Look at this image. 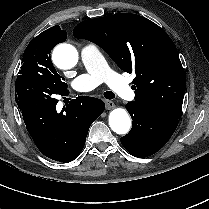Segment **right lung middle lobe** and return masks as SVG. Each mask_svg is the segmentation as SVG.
<instances>
[{
  "label": "right lung middle lobe",
  "instance_id": "obj_1",
  "mask_svg": "<svg viewBox=\"0 0 209 209\" xmlns=\"http://www.w3.org/2000/svg\"><path fill=\"white\" fill-rule=\"evenodd\" d=\"M56 42L49 33L39 34L26 47L17 80H28L37 85L63 93L67 84L54 68L50 52ZM16 80V81H17Z\"/></svg>",
  "mask_w": 209,
  "mask_h": 209
}]
</instances>
